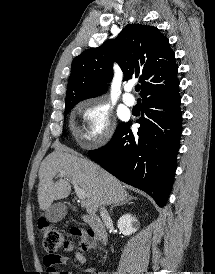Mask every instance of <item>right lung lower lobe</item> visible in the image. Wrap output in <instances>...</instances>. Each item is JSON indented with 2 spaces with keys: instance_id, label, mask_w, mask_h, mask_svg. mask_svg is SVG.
<instances>
[{
  "instance_id": "right-lung-lower-lobe-1",
  "label": "right lung lower lobe",
  "mask_w": 215,
  "mask_h": 274,
  "mask_svg": "<svg viewBox=\"0 0 215 274\" xmlns=\"http://www.w3.org/2000/svg\"><path fill=\"white\" fill-rule=\"evenodd\" d=\"M178 86L143 99L145 115L137 121V135L129 129L130 122L121 123L106 146L89 152L101 167L148 193L160 207L172 188L182 132Z\"/></svg>"
}]
</instances>
